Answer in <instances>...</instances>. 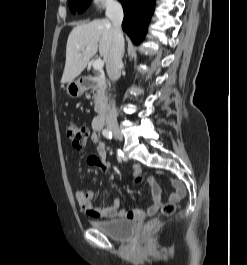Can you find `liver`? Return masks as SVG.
<instances>
[{
  "mask_svg": "<svg viewBox=\"0 0 247 265\" xmlns=\"http://www.w3.org/2000/svg\"><path fill=\"white\" fill-rule=\"evenodd\" d=\"M112 40L113 24L108 19L94 20L74 27L67 40L61 83H69L78 77L98 49L106 62ZM87 47L90 49L87 50Z\"/></svg>",
  "mask_w": 247,
  "mask_h": 265,
  "instance_id": "liver-1",
  "label": "liver"
}]
</instances>
